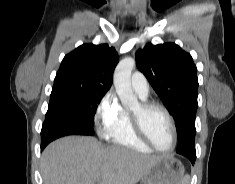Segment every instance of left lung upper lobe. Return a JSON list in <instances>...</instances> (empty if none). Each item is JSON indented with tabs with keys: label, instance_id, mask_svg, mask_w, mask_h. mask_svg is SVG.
<instances>
[{
	"label": "left lung upper lobe",
	"instance_id": "left-lung-upper-lobe-1",
	"mask_svg": "<svg viewBox=\"0 0 235 184\" xmlns=\"http://www.w3.org/2000/svg\"><path fill=\"white\" fill-rule=\"evenodd\" d=\"M135 59L175 120L179 139L176 152L196 153L198 78L191 55L175 43H148L137 51Z\"/></svg>",
	"mask_w": 235,
	"mask_h": 184
}]
</instances>
